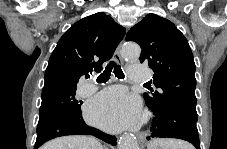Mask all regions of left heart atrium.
I'll use <instances>...</instances> for the list:
<instances>
[{
    "instance_id": "obj_1",
    "label": "left heart atrium",
    "mask_w": 227,
    "mask_h": 149,
    "mask_svg": "<svg viewBox=\"0 0 227 149\" xmlns=\"http://www.w3.org/2000/svg\"><path fill=\"white\" fill-rule=\"evenodd\" d=\"M140 114V104L121 87H110L89 104L87 119L108 130L119 131L133 125Z\"/></svg>"
}]
</instances>
